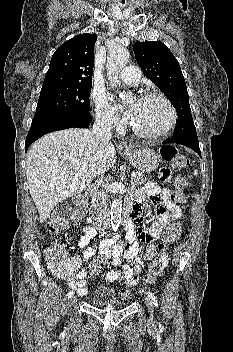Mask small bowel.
Wrapping results in <instances>:
<instances>
[{
    "label": "small bowel",
    "instance_id": "obj_1",
    "mask_svg": "<svg viewBox=\"0 0 233 352\" xmlns=\"http://www.w3.org/2000/svg\"><path fill=\"white\" fill-rule=\"evenodd\" d=\"M148 196L154 207L155 221L150 227L145 226L142 217V205L145 197ZM135 202V210L132 217L125 222L127 230L124 240L118 236L103 239L98 246L92 244L96 236V230L90 226L83 228L79 240V247L84 249L82 258L79 256H68V262L73 266V271L65 277L69 287L74 289L79 296H88L87 272L80 268L82 261H90L96 253L107 255L113 265L118 269L110 270L105 275L107 282L125 281L128 285H136L144 268L145 260H152L158 253L155 242L159 239L163 229L173 220L181 217V210L174 202L170 190L161 189L156 183L150 182L144 189L136 192L131 197ZM141 245L145 249L141 251ZM164 264L167 262V254L160 252ZM124 260L128 262L125 263Z\"/></svg>",
    "mask_w": 233,
    "mask_h": 352
}]
</instances>
